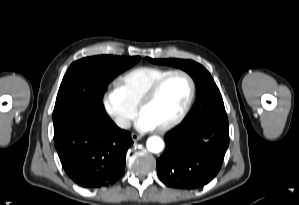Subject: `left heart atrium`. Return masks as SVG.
Returning a JSON list of instances; mask_svg holds the SVG:
<instances>
[{
	"label": "left heart atrium",
	"instance_id": "1",
	"mask_svg": "<svg viewBox=\"0 0 299 205\" xmlns=\"http://www.w3.org/2000/svg\"><path fill=\"white\" fill-rule=\"evenodd\" d=\"M135 126L140 131H150L156 128V125L145 115L140 114L136 120Z\"/></svg>",
	"mask_w": 299,
	"mask_h": 205
}]
</instances>
